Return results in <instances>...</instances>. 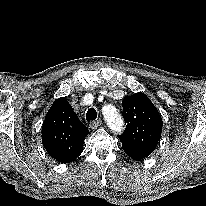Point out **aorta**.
I'll list each match as a JSON object with an SVG mask.
<instances>
[{"label":"aorta","instance_id":"aorta-1","mask_svg":"<svg viewBox=\"0 0 206 206\" xmlns=\"http://www.w3.org/2000/svg\"><path fill=\"white\" fill-rule=\"evenodd\" d=\"M107 122L110 128L115 132H121L124 129V121L120 113L112 108L111 114L107 116Z\"/></svg>","mask_w":206,"mask_h":206}]
</instances>
